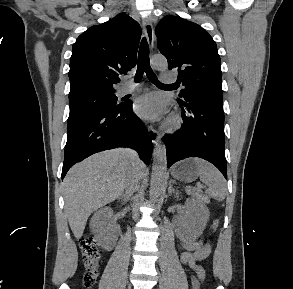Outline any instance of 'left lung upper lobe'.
Wrapping results in <instances>:
<instances>
[{"mask_svg":"<svg viewBox=\"0 0 293 289\" xmlns=\"http://www.w3.org/2000/svg\"><path fill=\"white\" fill-rule=\"evenodd\" d=\"M158 48L168 69H178L185 86L179 98L205 96L223 101L220 56L213 38L200 25L178 16L167 15L155 29Z\"/></svg>","mask_w":293,"mask_h":289,"instance_id":"1","label":"left lung upper lobe"}]
</instances>
